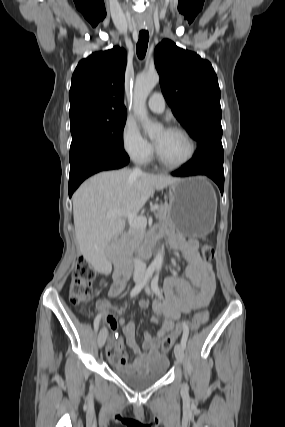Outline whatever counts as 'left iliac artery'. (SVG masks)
<instances>
[{"label": "left iliac artery", "mask_w": 285, "mask_h": 427, "mask_svg": "<svg viewBox=\"0 0 285 427\" xmlns=\"http://www.w3.org/2000/svg\"><path fill=\"white\" fill-rule=\"evenodd\" d=\"M158 276L159 275H158V272H157L155 274V276L153 277V279H152L151 286H152V290L154 291V293L156 295H158V296H161V293H160V290H159V287H158ZM187 339H188V333L184 332L183 336L181 338V345H182L183 349L186 348Z\"/></svg>", "instance_id": "obj_1"}]
</instances>
